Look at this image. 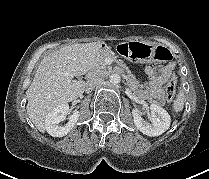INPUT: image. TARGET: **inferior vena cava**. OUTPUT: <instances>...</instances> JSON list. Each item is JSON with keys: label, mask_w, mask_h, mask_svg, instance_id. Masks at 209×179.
<instances>
[{"label": "inferior vena cava", "mask_w": 209, "mask_h": 179, "mask_svg": "<svg viewBox=\"0 0 209 179\" xmlns=\"http://www.w3.org/2000/svg\"><path fill=\"white\" fill-rule=\"evenodd\" d=\"M103 83V79L94 78L87 82L85 91L87 93L91 92L95 87L100 86Z\"/></svg>", "instance_id": "inferior-vena-cava-1"}]
</instances>
